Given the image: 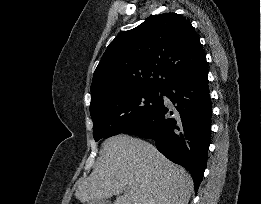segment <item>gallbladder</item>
I'll list each match as a JSON object with an SVG mask.
<instances>
[{
  "label": "gallbladder",
  "instance_id": "gallbladder-1",
  "mask_svg": "<svg viewBox=\"0 0 261 204\" xmlns=\"http://www.w3.org/2000/svg\"><path fill=\"white\" fill-rule=\"evenodd\" d=\"M88 204H111L108 199H93Z\"/></svg>",
  "mask_w": 261,
  "mask_h": 204
}]
</instances>
